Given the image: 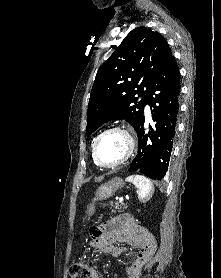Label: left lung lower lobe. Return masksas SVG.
<instances>
[{
	"mask_svg": "<svg viewBox=\"0 0 221 278\" xmlns=\"http://www.w3.org/2000/svg\"><path fill=\"white\" fill-rule=\"evenodd\" d=\"M180 74L174 57L148 92L145 105L151 107L155 129L144 133V116L137 128L138 154L129 170L162 180L168 170L179 113Z\"/></svg>",
	"mask_w": 221,
	"mask_h": 278,
	"instance_id": "left-lung-lower-lobe-1",
	"label": "left lung lower lobe"
}]
</instances>
